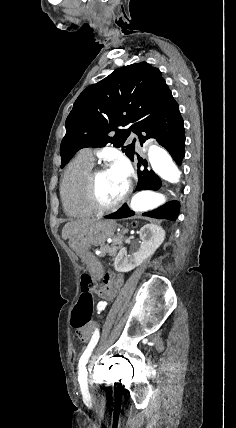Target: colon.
I'll use <instances>...</instances> for the list:
<instances>
[{
	"mask_svg": "<svg viewBox=\"0 0 236 428\" xmlns=\"http://www.w3.org/2000/svg\"><path fill=\"white\" fill-rule=\"evenodd\" d=\"M80 286L82 293L71 317V325L77 331L85 328L92 319L93 297L91 291L95 287V281L91 276L83 274L80 279Z\"/></svg>",
	"mask_w": 236,
	"mask_h": 428,
	"instance_id": "1",
	"label": "colon"
}]
</instances>
